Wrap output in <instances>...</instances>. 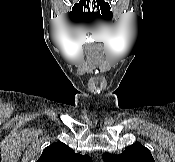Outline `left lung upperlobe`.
<instances>
[{"label": "left lung upper lobe", "instance_id": "obj_1", "mask_svg": "<svg viewBox=\"0 0 175 162\" xmlns=\"http://www.w3.org/2000/svg\"><path fill=\"white\" fill-rule=\"evenodd\" d=\"M104 162H155L150 150L140 143L132 144L121 154H103Z\"/></svg>", "mask_w": 175, "mask_h": 162}]
</instances>
